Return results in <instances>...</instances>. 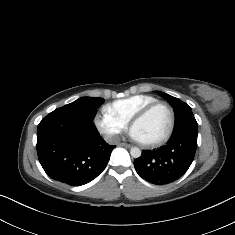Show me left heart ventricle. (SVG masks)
I'll use <instances>...</instances> for the list:
<instances>
[{
	"instance_id": "left-heart-ventricle-1",
	"label": "left heart ventricle",
	"mask_w": 235,
	"mask_h": 235,
	"mask_svg": "<svg viewBox=\"0 0 235 235\" xmlns=\"http://www.w3.org/2000/svg\"><path fill=\"white\" fill-rule=\"evenodd\" d=\"M170 126L169 113L164 108H157L146 118L136 122L133 129L141 142L149 143L163 137Z\"/></svg>"
}]
</instances>
